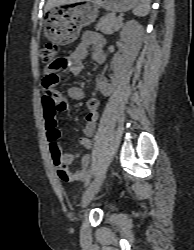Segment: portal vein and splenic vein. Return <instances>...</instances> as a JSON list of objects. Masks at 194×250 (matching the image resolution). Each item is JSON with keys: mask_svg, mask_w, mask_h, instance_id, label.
Returning <instances> with one entry per match:
<instances>
[{"mask_svg": "<svg viewBox=\"0 0 194 250\" xmlns=\"http://www.w3.org/2000/svg\"><path fill=\"white\" fill-rule=\"evenodd\" d=\"M118 18H119V20H120V21H122V20H123L122 16H119Z\"/></svg>", "mask_w": 194, "mask_h": 250, "instance_id": "obj_1", "label": "portal vein and splenic vein"}]
</instances>
